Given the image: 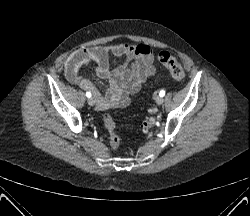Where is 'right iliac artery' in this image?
Masks as SVG:
<instances>
[{
    "label": "right iliac artery",
    "mask_w": 250,
    "mask_h": 216,
    "mask_svg": "<svg viewBox=\"0 0 250 216\" xmlns=\"http://www.w3.org/2000/svg\"><path fill=\"white\" fill-rule=\"evenodd\" d=\"M86 96H87L88 98H90V97H91V93H90V92H86Z\"/></svg>",
    "instance_id": "1"
}]
</instances>
